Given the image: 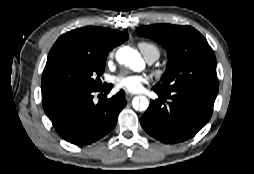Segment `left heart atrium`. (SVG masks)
<instances>
[{"instance_id": "left-heart-atrium-1", "label": "left heart atrium", "mask_w": 254, "mask_h": 174, "mask_svg": "<svg viewBox=\"0 0 254 174\" xmlns=\"http://www.w3.org/2000/svg\"><path fill=\"white\" fill-rule=\"evenodd\" d=\"M147 82V77L139 74L125 73L115 78V84L118 88L132 93L140 92Z\"/></svg>"}]
</instances>
